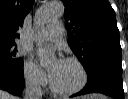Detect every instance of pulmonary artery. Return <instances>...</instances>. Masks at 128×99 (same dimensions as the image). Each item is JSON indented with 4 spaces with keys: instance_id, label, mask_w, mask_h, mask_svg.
Listing matches in <instances>:
<instances>
[{
    "instance_id": "e3ab8cb5",
    "label": "pulmonary artery",
    "mask_w": 128,
    "mask_h": 99,
    "mask_svg": "<svg viewBox=\"0 0 128 99\" xmlns=\"http://www.w3.org/2000/svg\"><path fill=\"white\" fill-rule=\"evenodd\" d=\"M64 33L63 26L60 23H55L47 26L40 31L36 39L42 42H58L62 39Z\"/></svg>"
}]
</instances>
